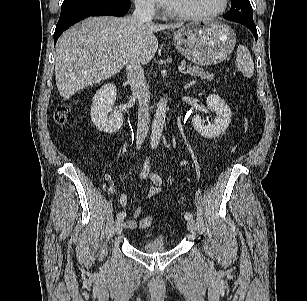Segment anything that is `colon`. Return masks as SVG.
I'll list each match as a JSON object with an SVG mask.
<instances>
[{"label": "colon", "mask_w": 307, "mask_h": 301, "mask_svg": "<svg viewBox=\"0 0 307 301\" xmlns=\"http://www.w3.org/2000/svg\"><path fill=\"white\" fill-rule=\"evenodd\" d=\"M70 108L67 105H61L57 108L54 115L55 122L59 125H64L68 121ZM153 218L151 216H145L141 219L140 226L142 228H148L151 226Z\"/></svg>", "instance_id": "colon-1"}]
</instances>
